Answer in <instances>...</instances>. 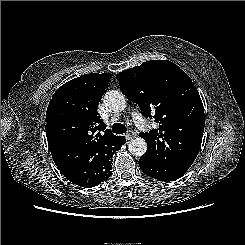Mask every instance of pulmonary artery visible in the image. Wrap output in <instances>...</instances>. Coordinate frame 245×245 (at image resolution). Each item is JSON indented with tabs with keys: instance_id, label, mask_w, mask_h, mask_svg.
I'll return each mask as SVG.
<instances>
[{
	"instance_id": "1",
	"label": "pulmonary artery",
	"mask_w": 245,
	"mask_h": 245,
	"mask_svg": "<svg viewBox=\"0 0 245 245\" xmlns=\"http://www.w3.org/2000/svg\"><path fill=\"white\" fill-rule=\"evenodd\" d=\"M133 120L137 125H141L144 122L143 118L138 113L133 114Z\"/></svg>"
}]
</instances>
